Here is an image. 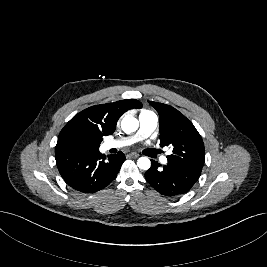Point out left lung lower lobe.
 I'll list each match as a JSON object with an SVG mask.
<instances>
[{"mask_svg": "<svg viewBox=\"0 0 267 267\" xmlns=\"http://www.w3.org/2000/svg\"><path fill=\"white\" fill-rule=\"evenodd\" d=\"M145 173L148 183L165 196H177L188 192L200 177V171L168 163L161 167L154 160Z\"/></svg>", "mask_w": 267, "mask_h": 267, "instance_id": "left-lung-lower-lobe-1", "label": "left lung lower lobe"}]
</instances>
